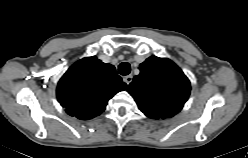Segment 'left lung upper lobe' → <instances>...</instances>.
<instances>
[{
	"label": "left lung upper lobe",
	"instance_id": "obj_1",
	"mask_svg": "<svg viewBox=\"0 0 248 158\" xmlns=\"http://www.w3.org/2000/svg\"><path fill=\"white\" fill-rule=\"evenodd\" d=\"M140 74L128 86L138 108L150 118L172 117L187 101L191 86L182 70L170 59L149 57Z\"/></svg>",
	"mask_w": 248,
	"mask_h": 158
}]
</instances>
